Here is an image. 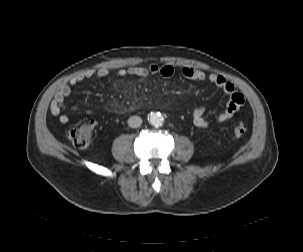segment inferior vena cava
Returning a JSON list of instances; mask_svg holds the SVG:
<instances>
[{"label":"inferior vena cava","mask_w":303,"mask_h":252,"mask_svg":"<svg viewBox=\"0 0 303 252\" xmlns=\"http://www.w3.org/2000/svg\"><path fill=\"white\" fill-rule=\"evenodd\" d=\"M142 124V119L139 116H131L128 119V125L131 128H138Z\"/></svg>","instance_id":"602c4592"}]
</instances>
